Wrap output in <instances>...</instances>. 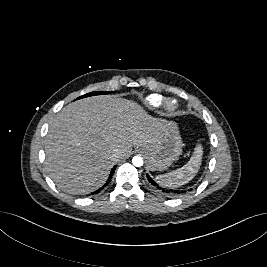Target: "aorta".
Instances as JSON below:
<instances>
[{
	"label": "aorta",
	"instance_id": "762f6f07",
	"mask_svg": "<svg viewBox=\"0 0 267 267\" xmlns=\"http://www.w3.org/2000/svg\"><path fill=\"white\" fill-rule=\"evenodd\" d=\"M132 163L136 167H141L143 165V158L140 156H134L132 159Z\"/></svg>",
	"mask_w": 267,
	"mask_h": 267
}]
</instances>
